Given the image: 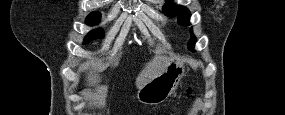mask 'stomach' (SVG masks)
I'll return each mask as SVG.
<instances>
[{"label":"stomach","instance_id":"stomach-1","mask_svg":"<svg viewBox=\"0 0 285 115\" xmlns=\"http://www.w3.org/2000/svg\"><path fill=\"white\" fill-rule=\"evenodd\" d=\"M184 72L183 62H171L161 75L151 79L138 90V101L146 105L164 102L175 91Z\"/></svg>","mask_w":285,"mask_h":115}]
</instances>
